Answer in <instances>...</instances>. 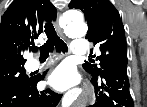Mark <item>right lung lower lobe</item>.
<instances>
[{
	"label": "right lung lower lobe",
	"instance_id": "1",
	"mask_svg": "<svg viewBox=\"0 0 147 107\" xmlns=\"http://www.w3.org/2000/svg\"><path fill=\"white\" fill-rule=\"evenodd\" d=\"M41 79V75L34 76L26 83L1 90L0 107H56L62 94L49 89L39 92L36 85Z\"/></svg>",
	"mask_w": 147,
	"mask_h": 107
}]
</instances>
